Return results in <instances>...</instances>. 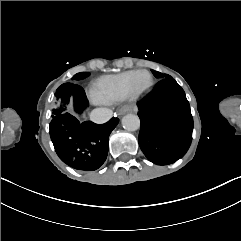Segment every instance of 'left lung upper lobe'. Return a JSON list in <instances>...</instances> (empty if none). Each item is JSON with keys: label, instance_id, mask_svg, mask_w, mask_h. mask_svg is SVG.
<instances>
[{"label": "left lung upper lobe", "instance_id": "obj_1", "mask_svg": "<svg viewBox=\"0 0 241 241\" xmlns=\"http://www.w3.org/2000/svg\"><path fill=\"white\" fill-rule=\"evenodd\" d=\"M152 72H153V74H154V76L155 77H157V78H162L163 77V75L161 74V73H159V72H156V71H154V70H152ZM165 76V78H168V77H170L169 75H164Z\"/></svg>", "mask_w": 241, "mask_h": 241}]
</instances>
